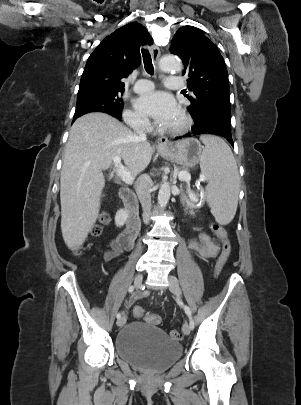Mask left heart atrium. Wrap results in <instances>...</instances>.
<instances>
[{
	"label": "left heart atrium",
	"instance_id": "39dd6f15",
	"mask_svg": "<svg viewBox=\"0 0 301 405\" xmlns=\"http://www.w3.org/2000/svg\"><path fill=\"white\" fill-rule=\"evenodd\" d=\"M135 108L142 115L154 119L165 127L172 125L181 115V110L174 98L161 91L141 95L135 101Z\"/></svg>",
	"mask_w": 301,
	"mask_h": 405
}]
</instances>
